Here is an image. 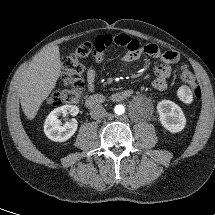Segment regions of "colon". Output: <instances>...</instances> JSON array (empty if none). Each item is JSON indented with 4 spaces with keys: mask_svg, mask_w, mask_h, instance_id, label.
Here are the masks:
<instances>
[{
    "mask_svg": "<svg viewBox=\"0 0 215 215\" xmlns=\"http://www.w3.org/2000/svg\"><path fill=\"white\" fill-rule=\"evenodd\" d=\"M93 53V45L89 42L81 44L74 54L65 57L62 61V79L65 88L56 90L48 97V103L53 106L77 103L82 96L83 82L81 74L83 72L82 59ZM182 80L191 90L195 97H200V88L195 82L193 74L182 66Z\"/></svg>",
    "mask_w": 215,
    "mask_h": 215,
    "instance_id": "5ec220e1",
    "label": "colon"
}]
</instances>
